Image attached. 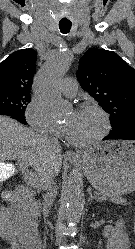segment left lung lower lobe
<instances>
[{
    "label": "left lung lower lobe",
    "mask_w": 135,
    "mask_h": 249,
    "mask_svg": "<svg viewBox=\"0 0 135 249\" xmlns=\"http://www.w3.org/2000/svg\"><path fill=\"white\" fill-rule=\"evenodd\" d=\"M112 139L135 140V117L131 118L128 127L116 131L112 130L103 140Z\"/></svg>",
    "instance_id": "obj_1"
}]
</instances>
